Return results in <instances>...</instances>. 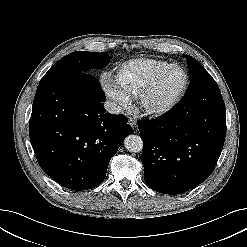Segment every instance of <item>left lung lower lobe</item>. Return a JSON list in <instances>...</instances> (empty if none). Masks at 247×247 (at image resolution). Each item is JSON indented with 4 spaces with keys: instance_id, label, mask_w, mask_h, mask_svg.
<instances>
[{
    "instance_id": "obj_1",
    "label": "left lung lower lobe",
    "mask_w": 247,
    "mask_h": 247,
    "mask_svg": "<svg viewBox=\"0 0 247 247\" xmlns=\"http://www.w3.org/2000/svg\"><path fill=\"white\" fill-rule=\"evenodd\" d=\"M190 86L194 98H183L162 116L138 122L144 179L160 193L181 194L204 182L224 145L225 104L217 83L206 76Z\"/></svg>"
}]
</instances>
